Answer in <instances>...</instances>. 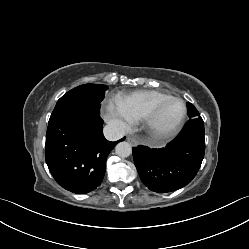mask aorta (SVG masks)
<instances>
[{
  "instance_id": "aorta-1",
  "label": "aorta",
  "mask_w": 249,
  "mask_h": 249,
  "mask_svg": "<svg viewBox=\"0 0 249 249\" xmlns=\"http://www.w3.org/2000/svg\"><path fill=\"white\" fill-rule=\"evenodd\" d=\"M115 152L119 157L125 158L131 155L132 147L128 142H120L115 147Z\"/></svg>"
}]
</instances>
